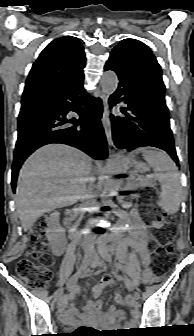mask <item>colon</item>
Instances as JSON below:
<instances>
[{"mask_svg":"<svg viewBox=\"0 0 194 336\" xmlns=\"http://www.w3.org/2000/svg\"><path fill=\"white\" fill-rule=\"evenodd\" d=\"M143 212L150 218V224L154 231L159 233L158 239L151 240V247L156 256L167 257L172 254L171 239L173 237L170 227L173 219L163 212L154 202H146L142 205ZM46 219L36 220L30 233V246L28 255L33 258L42 257L47 250L45 239ZM16 270L18 275L29 285L35 288H45L51 278L48 267L37 265L29 258L20 259ZM154 278L147 279V283L154 282ZM130 297L127 300L130 301ZM83 331V330H82Z\"/></svg>","mask_w":194,"mask_h":336,"instance_id":"obj_1","label":"colon"}]
</instances>
